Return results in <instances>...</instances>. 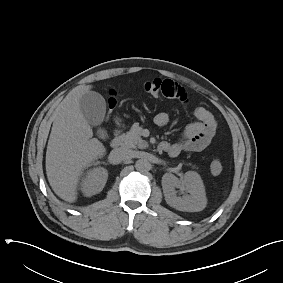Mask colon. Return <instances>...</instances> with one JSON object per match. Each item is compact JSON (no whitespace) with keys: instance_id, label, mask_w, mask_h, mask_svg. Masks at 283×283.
<instances>
[{"instance_id":"5ec220e1","label":"colon","mask_w":283,"mask_h":283,"mask_svg":"<svg viewBox=\"0 0 283 283\" xmlns=\"http://www.w3.org/2000/svg\"><path fill=\"white\" fill-rule=\"evenodd\" d=\"M144 90L152 95V96H158L161 94L162 91V80L161 79H152L150 81H147L144 84ZM115 98L111 96V98L108 101L109 108L112 109L115 106ZM211 171L213 174H220L223 170V164L219 159H214L211 162Z\"/></svg>"}]
</instances>
